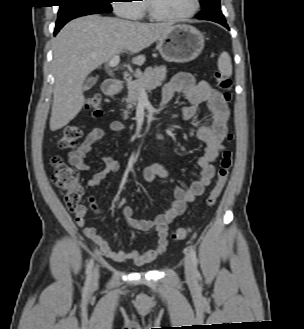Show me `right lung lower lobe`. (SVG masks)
I'll return each mask as SVG.
<instances>
[{
	"mask_svg": "<svg viewBox=\"0 0 304 329\" xmlns=\"http://www.w3.org/2000/svg\"><path fill=\"white\" fill-rule=\"evenodd\" d=\"M66 23L64 24H61V25H58L55 27V30H54V35H56L58 33V31L65 25Z\"/></svg>",
	"mask_w": 304,
	"mask_h": 329,
	"instance_id": "98d812e1",
	"label": "right lung lower lobe"
}]
</instances>
